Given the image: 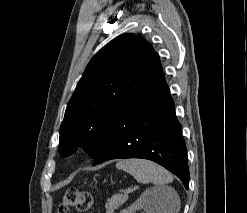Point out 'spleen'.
I'll list each match as a JSON object with an SVG mask.
<instances>
[{
  "label": "spleen",
  "instance_id": "3e777b00",
  "mask_svg": "<svg viewBox=\"0 0 247 213\" xmlns=\"http://www.w3.org/2000/svg\"><path fill=\"white\" fill-rule=\"evenodd\" d=\"M116 168L131 174L138 182L144 184L153 183L163 186L173 180L170 172L149 160L136 158L120 160L116 164ZM172 204L176 207L175 213H177L180 208L177 196L173 197Z\"/></svg>",
  "mask_w": 247,
  "mask_h": 213
}]
</instances>
